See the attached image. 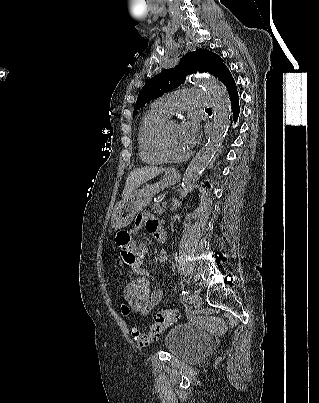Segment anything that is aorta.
Instances as JSON below:
<instances>
[{
    "label": "aorta",
    "instance_id": "1",
    "mask_svg": "<svg viewBox=\"0 0 319 403\" xmlns=\"http://www.w3.org/2000/svg\"><path fill=\"white\" fill-rule=\"evenodd\" d=\"M193 84L203 87L211 97L214 110V125L208 141L199 150L187 167L182 182V189L187 191L207 167L219 146L225 139L230 125L231 104L225 86L215 77L206 76L192 80Z\"/></svg>",
    "mask_w": 319,
    "mask_h": 403
}]
</instances>
